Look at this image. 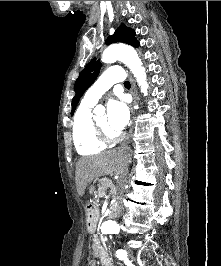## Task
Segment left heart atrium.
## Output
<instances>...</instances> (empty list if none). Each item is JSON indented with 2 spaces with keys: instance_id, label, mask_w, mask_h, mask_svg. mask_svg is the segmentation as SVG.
I'll use <instances>...</instances> for the list:
<instances>
[{
  "instance_id": "1",
  "label": "left heart atrium",
  "mask_w": 221,
  "mask_h": 266,
  "mask_svg": "<svg viewBox=\"0 0 221 266\" xmlns=\"http://www.w3.org/2000/svg\"><path fill=\"white\" fill-rule=\"evenodd\" d=\"M107 117L110 127L115 131H120L126 126L129 111L122 98L111 99L107 103Z\"/></svg>"
}]
</instances>
